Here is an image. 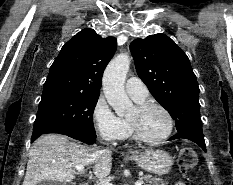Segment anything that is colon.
Masks as SVG:
<instances>
[{
  "instance_id": "colon-1",
  "label": "colon",
  "mask_w": 233,
  "mask_h": 185,
  "mask_svg": "<svg viewBox=\"0 0 233 185\" xmlns=\"http://www.w3.org/2000/svg\"><path fill=\"white\" fill-rule=\"evenodd\" d=\"M196 153L191 147H183L178 156V169L182 173H187L192 170L196 164Z\"/></svg>"
}]
</instances>
